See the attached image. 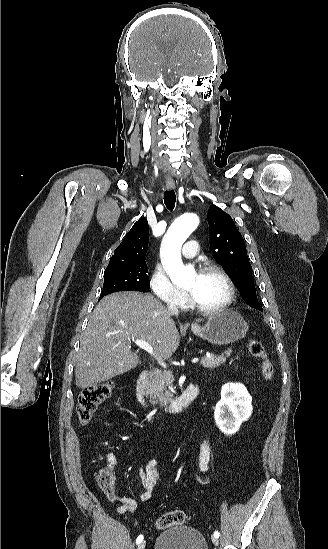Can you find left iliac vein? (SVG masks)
Returning <instances> with one entry per match:
<instances>
[{"mask_svg":"<svg viewBox=\"0 0 328 549\" xmlns=\"http://www.w3.org/2000/svg\"><path fill=\"white\" fill-rule=\"evenodd\" d=\"M211 540H212V543H213L214 545H218V544H219L218 538L213 537Z\"/></svg>","mask_w":328,"mask_h":549,"instance_id":"obj_1","label":"left iliac vein"}]
</instances>
